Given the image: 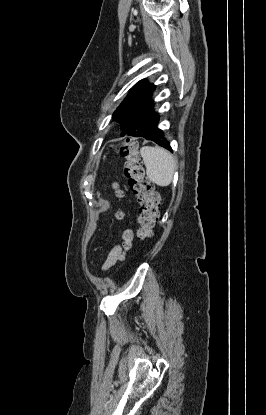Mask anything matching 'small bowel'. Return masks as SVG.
Segmentation results:
<instances>
[{
    "instance_id": "obj_1",
    "label": "small bowel",
    "mask_w": 266,
    "mask_h": 415,
    "mask_svg": "<svg viewBox=\"0 0 266 415\" xmlns=\"http://www.w3.org/2000/svg\"><path fill=\"white\" fill-rule=\"evenodd\" d=\"M123 242L121 245L115 246L108 254L107 259L103 264V269L107 270L113 266L117 261H121L125 257L127 250L131 248L133 233L131 230H126L122 236Z\"/></svg>"
}]
</instances>
